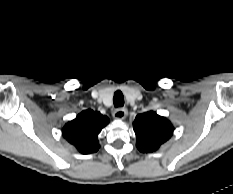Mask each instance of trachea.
Wrapping results in <instances>:
<instances>
[{"mask_svg": "<svg viewBox=\"0 0 233 194\" xmlns=\"http://www.w3.org/2000/svg\"><path fill=\"white\" fill-rule=\"evenodd\" d=\"M113 103L114 106L117 107H122L124 105V96L121 91H116L113 97Z\"/></svg>", "mask_w": 233, "mask_h": 194, "instance_id": "trachea-1", "label": "trachea"}]
</instances>
